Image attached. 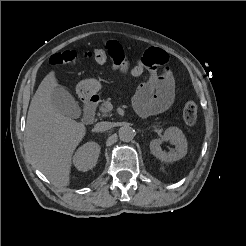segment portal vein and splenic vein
<instances>
[{
    "instance_id": "18ae733b",
    "label": "portal vein and splenic vein",
    "mask_w": 246,
    "mask_h": 246,
    "mask_svg": "<svg viewBox=\"0 0 246 246\" xmlns=\"http://www.w3.org/2000/svg\"><path fill=\"white\" fill-rule=\"evenodd\" d=\"M108 109H109V110H112V109H113V106L110 104V105L108 106Z\"/></svg>"
}]
</instances>
